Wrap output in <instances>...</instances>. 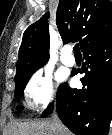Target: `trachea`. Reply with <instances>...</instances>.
<instances>
[{
  "mask_svg": "<svg viewBox=\"0 0 112 135\" xmlns=\"http://www.w3.org/2000/svg\"><path fill=\"white\" fill-rule=\"evenodd\" d=\"M74 53L75 55H80V48L78 44H75V46L73 47Z\"/></svg>",
  "mask_w": 112,
  "mask_h": 135,
  "instance_id": "trachea-1",
  "label": "trachea"
}]
</instances>
